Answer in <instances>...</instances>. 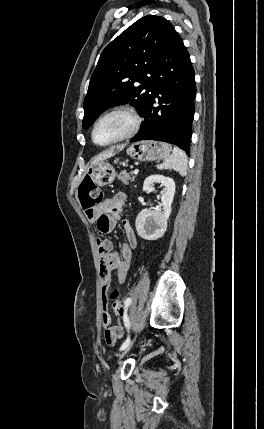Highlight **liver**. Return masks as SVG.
<instances>
[{"label":"liver","mask_w":264,"mask_h":429,"mask_svg":"<svg viewBox=\"0 0 264 429\" xmlns=\"http://www.w3.org/2000/svg\"><path fill=\"white\" fill-rule=\"evenodd\" d=\"M125 146H126L125 144H122V145H119V146H116V147H112V148H110V149L102 152L101 154H99L98 156H96L92 160L91 165H93V164H95L97 162H100V161H104V160H106L108 158H111L112 156L115 155L116 151L123 150Z\"/></svg>","instance_id":"obj_1"}]
</instances>
